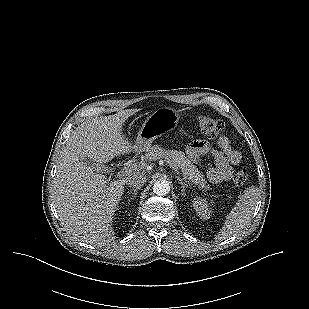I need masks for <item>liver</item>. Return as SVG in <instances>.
<instances>
[{
    "label": "liver",
    "instance_id": "obj_1",
    "mask_svg": "<svg viewBox=\"0 0 309 309\" xmlns=\"http://www.w3.org/2000/svg\"><path fill=\"white\" fill-rule=\"evenodd\" d=\"M139 109L91 118L70 136L60 154L53 202L65 229L82 242L103 246L115 239L113 215L124 192L125 179L110 181L94 173L83 160L108 163L115 156L140 151L123 135L124 122Z\"/></svg>",
    "mask_w": 309,
    "mask_h": 309
}]
</instances>
